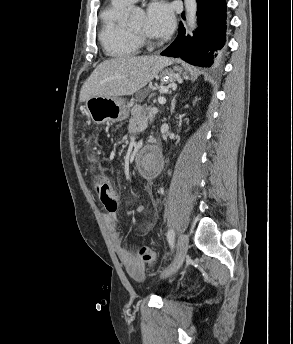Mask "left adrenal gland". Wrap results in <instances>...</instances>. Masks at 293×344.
Segmentation results:
<instances>
[{"label": "left adrenal gland", "mask_w": 293, "mask_h": 344, "mask_svg": "<svg viewBox=\"0 0 293 344\" xmlns=\"http://www.w3.org/2000/svg\"><path fill=\"white\" fill-rule=\"evenodd\" d=\"M175 99H173V101H172V104H171V113H173L174 112V109H175Z\"/></svg>", "instance_id": "obj_1"}]
</instances>
